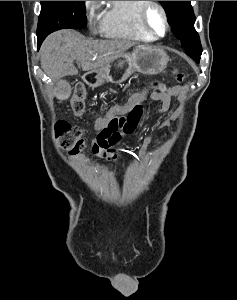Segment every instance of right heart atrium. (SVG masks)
Here are the masks:
<instances>
[{
    "label": "right heart atrium",
    "mask_w": 237,
    "mask_h": 300,
    "mask_svg": "<svg viewBox=\"0 0 237 300\" xmlns=\"http://www.w3.org/2000/svg\"><path fill=\"white\" fill-rule=\"evenodd\" d=\"M84 10L89 22H96L101 14L100 1H84Z\"/></svg>",
    "instance_id": "1"
}]
</instances>
